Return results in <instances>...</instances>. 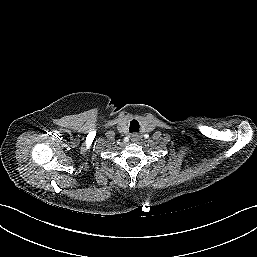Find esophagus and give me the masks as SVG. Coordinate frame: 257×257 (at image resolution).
<instances>
[{
	"instance_id": "obj_1",
	"label": "esophagus",
	"mask_w": 257,
	"mask_h": 257,
	"mask_svg": "<svg viewBox=\"0 0 257 257\" xmlns=\"http://www.w3.org/2000/svg\"><path fill=\"white\" fill-rule=\"evenodd\" d=\"M140 138H141L140 135L137 134V133H133L131 135V141L134 142V143H137L140 140Z\"/></svg>"
}]
</instances>
